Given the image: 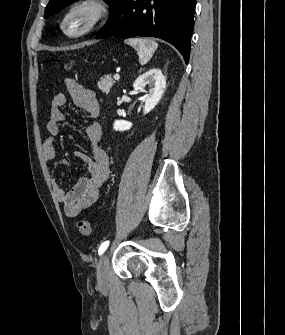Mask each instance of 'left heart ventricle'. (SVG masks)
<instances>
[{"label":"left heart ventricle","instance_id":"b2bd125f","mask_svg":"<svg viewBox=\"0 0 285 335\" xmlns=\"http://www.w3.org/2000/svg\"><path fill=\"white\" fill-rule=\"evenodd\" d=\"M80 16H81L80 20L85 23L89 20V18L91 16V11L84 10V11L80 12Z\"/></svg>","mask_w":285,"mask_h":335}]
</instances>
